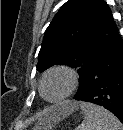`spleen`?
<instances>
[{
	"label": "spleen",
	"mask_w": 123,
	"mask_h": 130,
	"mask_svg": "<svg viewBox=\"0 0 123 130\" xmlns=\"http://www.w3.org/2000/svg\"><path fill=\"white\" fill-rule=\"evenodd\" d=\"M84 120L76 130H123V124L111 112L92 103L82 102Z\"/></svg>",
	"instance_id": "3e777b00"
}]
</instances>
